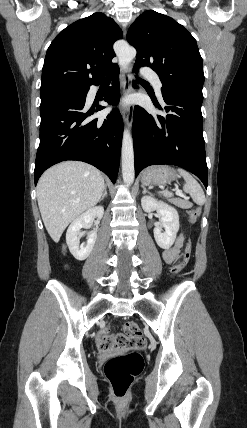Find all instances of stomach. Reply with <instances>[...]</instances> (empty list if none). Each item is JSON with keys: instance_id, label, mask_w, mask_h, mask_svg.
<instances>
[{"instance_id": "0dacf381", "label": "stomach", "mask_w": 247, "mask_h": 428, "mask_svg": "<svg viewBox=\"0 0 247 428\" xmlns=\"http://www.w3.org/2000/svg\"><path fill=\"white\" fill-rule=\"evenodd\" d=\"M175 170L167 165L152 166L145 170L142 176L143 184L163 185L176 179Z\"/></svg>"}]
</instances>
